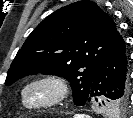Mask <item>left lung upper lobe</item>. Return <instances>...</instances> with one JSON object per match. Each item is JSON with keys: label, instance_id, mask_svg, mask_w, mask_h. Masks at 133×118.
Here are the masks:
<instances>
[{"label": "left lung upper lobe", "instance_id": "1", "mask_svg": "<svg viewBox=\"0 0 133 118\" xmlns=\"http://www.w3.org/2000/svg\"><path fill=\"white\" fill-rule=\"evenodd\" d=\"M119 34L115 22L92 1H78L45 18L29 35L9 68L5 84L39 72L70 80L74 103L86 104L92 75ZM129 97L99 103L124 112Z\"/></svg>", "mask_w": 133, "mask_h": 118}]
</instances>
